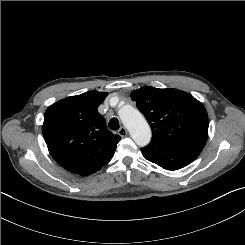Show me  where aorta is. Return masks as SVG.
<instances>
[{"label": "aorta", "mask_w": 245, "mask_h": 245, "mask_svg": "<svg viewBox=\"0 0 245 245\" xmlns=\"http://www.w3.org/2000/svg\"><path fill=\"white\" fill-rule=\"evenodd\" d=\"M119 116L138 146L144 147L150 142V127L138 110L130 105H126L120 109Z\"/></svg>", "instance_id": "1"}]
</instances>
